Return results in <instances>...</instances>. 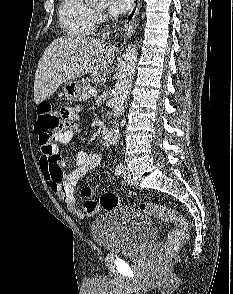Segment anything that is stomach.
<instances>
[{"label": "stomach", "mask_w": 233, "mask_h": 294, "mask_svg": "<svg viewBox=\"0 0 233 294\" xmlns=\"http://www.w3.org/2000/svg\"><path fill=\"white\" fill-rule=\"evenodd\" d=\"M82 87L79 81L67 80L63 87V92L66 100L76 102L81 100Z\"/></svg>", "instance_id": "stomach-1"}]
</instances>
